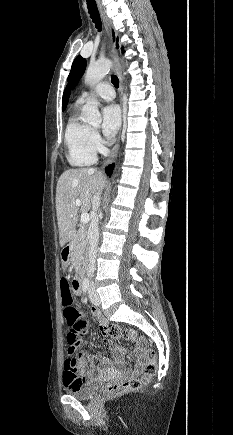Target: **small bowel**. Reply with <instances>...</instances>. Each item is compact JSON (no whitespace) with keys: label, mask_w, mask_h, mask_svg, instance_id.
I'll return each mask as SVG.
<instances>
[{"label":"small bowel","mask_w":233,"mask_h":435,"mask_svg":"<svg viewBox=\"0 0 233 435\" xmlns=\"http://www.w3.org/2000/svg\"><path fill=\"white\" fill-rule=\"evenodd\" d=\"M82 288V284L79 285L75 280L70 282L69 280L61 279L59 285V295L61 300L72 292L78 294ZM93 317L99 321V330L102 335V340L105 346L110 350L111 355L115 359L113 363L108 357L102 355H90L86 352H80L77 358H72L68 354L65 356L63 363V376L62 383L67 389H75L82 384L92 382L96 375L109 374L112 371H122L120 360L122 358V350L117 347L113 340L110 338L109 325L103 319L102 313L99 310L92 312ZM94 324L89 321H85L80 317L70 325V331L67 333V341L72 340L73 344L77 348L81 342L80 339L83 334L86 333L88 328H92ZM143 352L144 348L141 345H137L134 348L133 355L135 358L134 367L129 370L132 374H139L143 369Z\"/></svg>","instance_id":"1"}]
</instances>
